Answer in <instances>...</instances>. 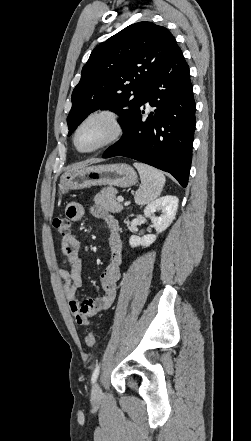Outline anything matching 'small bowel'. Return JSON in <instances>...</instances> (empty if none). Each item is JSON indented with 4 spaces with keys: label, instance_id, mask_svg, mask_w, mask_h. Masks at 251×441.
<instances>
[{
    "label": "small bowel",
    "instance_id": "obj_1",
    "mask_svg": "<svg viewBox=\"0 0 251 441\" xmlns=\"http://www.w3.org/2000/svg\"><path fill=\"white\" fill-rule=\"evenodd\" d=\"M92 213L104 221L110 233V262L100 276L102 296L86 299L82 302L77 297V291L82 285L83 262L80 257V242L75 237L70 236L62 240L63 260L62 265L58 268L59 276L63 282V293L71 314L82 326L88 325L89 318L106 311L113 304L122 265V240L118 221L113 215L98 207L94 208ZM85 214L86 209L80 203L72 202L67 207V216L73 221L81 220Z\"/></svg>",
    "mask_w": 251,
    "mask_h": 441
}]
</instances>
